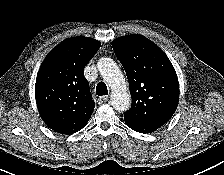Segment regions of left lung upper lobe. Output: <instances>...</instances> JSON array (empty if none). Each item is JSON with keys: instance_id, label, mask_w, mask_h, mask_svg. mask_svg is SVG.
Here are the masks:
<instances>
[{"instance_id": "obj_1", "label": "left lung upper lobe", "mask_w": 224, "mask_h": 175, "mask_svg": "<svg viewBox=\"0 0 224 175\" xmlns=\"http://www.w3.org/2000/svg\"><path fill=\"white\" fill-rule=\"evenodd\" d=\"M129 82L132 106L124 120L136 125H164L179 102V83L165 53L141 35H128L112 42Z\"/></svg>"}]
</instances>
